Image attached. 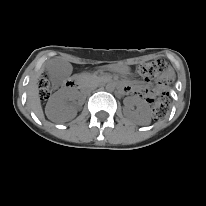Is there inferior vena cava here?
Listing matches in <instances>:
<instances>
[{
  "label": "inferior vena cava",
  "mask_w": 206,
  "mask_h": 206,
  "mask_svg": "<svg viewBox=\"0 0 206 206\" xmlns=\"http://www.w3.org/2000/svg\"><path fill=\"white\" fill-rule=\"evenodd\" d=\"M95 89H96V86L90 87V88L86 89V90L84 91V93H85V94H88V93H90L91 91H93V90H95Z\"/></svg>",
  "instance_id": "602c4592"
}]
</instances>
